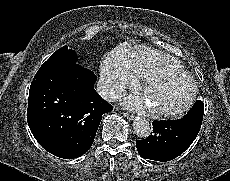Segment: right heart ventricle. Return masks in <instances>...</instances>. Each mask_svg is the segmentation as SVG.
<instances>
[{"instance_id":"1","label":"right heart ventricle","mask_w":230,"mask_h":181,"mask_svg":"<svg viewBox=\"0 0 230 181\" xmlns=\"http://www.w3.org/2000/svg\"><path fill=\"white\" fill-rule=\"evenodd\" d=\"M108 59L112 65L128 69L142 79L160 70L184 71L178 61L143 44L123 43L110 52Z\"/></svg>"}]
</instances>
